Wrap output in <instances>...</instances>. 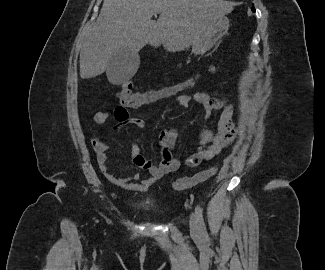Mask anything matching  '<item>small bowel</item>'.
<instances>
[{"label":"small bowel","instance_id":"1","mask_svg":"<svg viewBox=\"0 0 325 270\" xmlns=\"http://www.w3.org/2000/svg\"><path fill=\"white\" fill-rule=\"evenodd\" d=\"M198 79H196L197 81ZM162 89V88H159ZM134 96H145L144 92H137ZM177 104L189 109L193 102L199 104L203 109V122L205 123L213 113L220 110L216 131H212L205 125L199 133L200 147L195 153L186 159L188 166H197L202 161L215 158L221 151L229 147L235 140L236 130L233 123L234 107L223 99H217L205 92H196L193 96L181 93L179 96H172ZM154 103H118L112 111V115L120 125L129 123L135 127H142L144 122L139 117L130 119V112L127 110L138 109ZM111 117L110 113L100 112L94 117L96 124H104ZM177 140V132L174 129H167L159 134V144L161 147V160L158 164L145 158L140 147L130 142L131 159L135 166L148 171L149 175L141 178L139 173L118 177L114 175L109 167L107 155L110 146L98 138L92 140V144L97 154V162L104 176L113 184L132 191H146L152 184L164 175L175 172L180 167V160L172 156V148Z\"/></svg>","mask_w":325,"mask_h":270}]
</instances>
